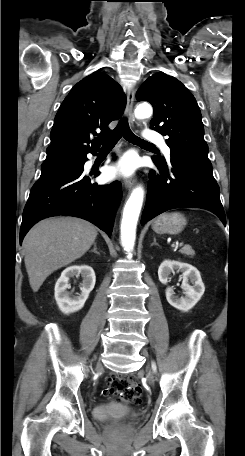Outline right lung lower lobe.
<instances>
[{"instance_id":"obj_1","label":"right lung lower lobe","mask_w":245,"mask_h":456,"mask_svg":"<svg viewBox=\"0 0 245 456\" xmlns=\"http://www.w3.org/2000/svg\"><path fill=\"white\" fill-rule=\"evenodd\" d=\"M86 161L87 157L69 171L40 176L23 211L20 242L36 222L57 215L83 218L111 236L122 186L118 181L110 185L91 183L83 175Z\"/></svg>"}]
</instances>
